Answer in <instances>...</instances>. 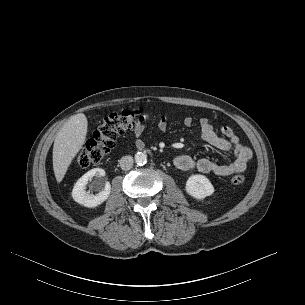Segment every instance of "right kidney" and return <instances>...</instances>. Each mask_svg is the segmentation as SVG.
<instances>
[{
	"label": "right kidney",
	"mask_w": 305,
	"mask_h": 305,
	"mask_svg": "<svg viewBox=\"0 0 305 305\" xmlns=\"http://www.w3.org/2000/svg\"><path fill=\"white\" fill-rule=\"evenodd\" d=\"M97 175L99 177H104L105 171L101 168L91 169L76 182L72 190V197L77 203L92 208L102 204L108 199L111 192V185L108 181L100 182L98 186H96V188L100 190L96 195L85 191L88 181Z\"/></svg>",
	"instance_id": "obj_1"
}]
</instances>
